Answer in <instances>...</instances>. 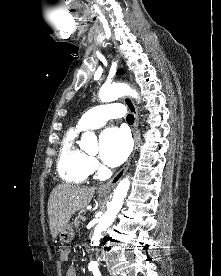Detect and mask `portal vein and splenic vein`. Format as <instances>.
Wrapping results in <instances>:
<instances>
[{
  "instance_id": "18ae733b",
  "label": "portal vein and splenic vein",
  "mask_w": 221,
  "mask_h": 276,
  "mask_svg": "<svg viewBox=\"0 0 221 276\" xmlns=\"http://www.w3.org/2000/svg\"><path fill=\"white\" fill-rule=\"evenodd\" d=\"M87 218L85 216L82 217V221L85 222Z\"/></svg>"
}]
</instances>
